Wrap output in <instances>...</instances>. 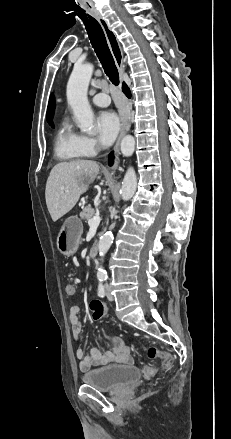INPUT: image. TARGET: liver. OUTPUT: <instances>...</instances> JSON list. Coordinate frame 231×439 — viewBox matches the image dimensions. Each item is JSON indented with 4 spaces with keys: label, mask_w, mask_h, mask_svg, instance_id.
I'll return each instance as SVG.
<instances>
[{
    "label": "liver",
    "mask_w": 231,
    "mask_h": 439,
    "mask_svg": "<svg viewBox=\"0 0 231 439\" xmlns=\"http://www.w3.org/2000/svg\"><path fill=\"white\" fill-rule=\"evenodd\" d=\"M98 173L99 165L92 160L61 162L52 168L45 199L54 222L72 210Z\"/></svg>",
    "instance_id": "obj_1"
}]
</instances>
